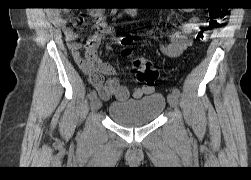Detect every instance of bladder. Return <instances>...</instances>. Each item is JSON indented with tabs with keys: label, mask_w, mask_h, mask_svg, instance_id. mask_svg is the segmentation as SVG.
<instances>
[{
	"label": "bladder",
	"mask_w": 251,
	"mask_h": 180,
	"mask_svg": "<svg viewBox=\"0 0 251 180\" xmlns=\"http://www.w3.org/2000/svg\"><path fill=\"white\" fill-rule=\"evenodd\" d=\"M166 99L161 93H153L139 100L114 101L108 115L124 127H140L154 122L164 111Z\"/></svg>",
	"instance_id": "31cf9c89"
}]
</instances>
